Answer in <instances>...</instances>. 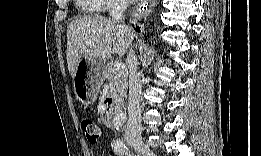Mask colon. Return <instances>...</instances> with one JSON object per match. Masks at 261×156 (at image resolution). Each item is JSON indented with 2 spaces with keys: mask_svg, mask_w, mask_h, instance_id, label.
Returning a JSON list of instances; mask_svg holds the SVG:
<instances>
[{
  "mask_svg": "<svg viewBox=\"0 0 261 156\" xmlns=\"http://www.w3.org/2000/svg\"><path fill=\"white\" fill-rule=\"evenodd\" d=\"M108 110L104 112L105 119L108 118ZM81 128L85 133L86 139L90 144H95L101 134L99 126L90 117H83L81 119Z\"/></svg>",
  "mask_w": 261,
  "mask_h": 156,
  "instance_id": "1",
  "label": "colon"
}]
</instances>
